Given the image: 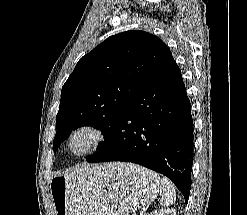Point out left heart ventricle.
Listing matches in <instances>:
<instances>
[{"label": "left heart ventricle", "instance_id": "left-heart-ventricle-1", "mask_svg": "<svg viewBox=\"0 0 247 215\" xmlns=\"http://www.w3.org/2000/svg\"><path fill=\"white\" fill-rule=\"evenodd\" d=\"M89 142V136L87 134L79 135L73 142L74 151H82L86 148Z\"/></svg>", "mask_w": 247, "mask_h": 215}]
</instances>
